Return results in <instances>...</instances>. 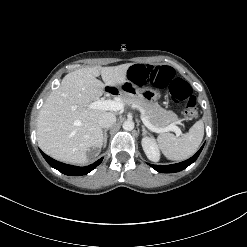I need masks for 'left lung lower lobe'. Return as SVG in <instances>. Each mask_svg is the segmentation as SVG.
Returning <instances> with one entry per match:
<instances>
[{"mask_svg": "<svg viewBox=\"0 0 247 247\" xmlns=\"http://www.w3.org/2000/svg\"><path fill=\"white\" fill-rule=\"evenodd\" d=\"M204 146V145H203ZM203 146L199 149V151L189 158L186 161L177 163V164H172V165H153L149 164L152 168H154L156 171L161 172V173H174V172H179L185 168H187L190 164L196 161L198 158L199 154L201 153Z\"/></svg>", "mask_w": 247, "mask_h": 247, "instance_id": "0a47b994", "label": "left lung lower lobe"}]
</instances>
